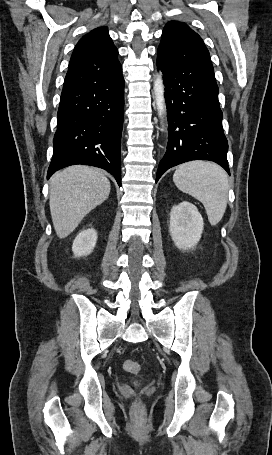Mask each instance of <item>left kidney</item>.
Masks as SVG:
<instances>
[{
    "label": "left kidney",
    "instance_id": "1",
    "mask_svg": "<svg viewBox=\"0 0 272 455\" xmlns=\"http://www.w3.org/2000/svg\"><path fill=\"white\" fill-rule=\"evenodd\" d=\"M204 222L196 206L183 201L170 212L169 231L175 246L182 250L193 248L201 238Z\"/></svg>",
    "mask_w": 272,
    "mask_h": 455
}]
</instances>
